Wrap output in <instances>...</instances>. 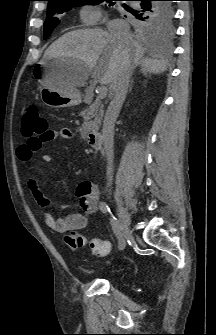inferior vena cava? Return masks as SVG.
I'll use <instances>...</instances> for the list:
<instances>
[{"label":"inferior vena cava","instance_id":"1","mask_svg":"<svg viewBox=\"0 0 216 335\" xmlns=\"http://www.w3.org/2000/svg\"><path fill=\"white\" fill-rule=\"evenodd\" d=\"M110 36L119 44L131 40L130 26L122 19H114L107 22ZM132 63L128 57H124L118 75L113 85V97L108 106L102 129L103 147L107 158V180L108 186L113 180V155H114V126L124 103L130 76L132 74Z\"/></svg>","mask_w":216,"mask_h":335}]
</instances>
